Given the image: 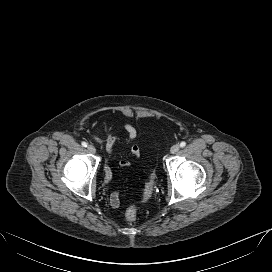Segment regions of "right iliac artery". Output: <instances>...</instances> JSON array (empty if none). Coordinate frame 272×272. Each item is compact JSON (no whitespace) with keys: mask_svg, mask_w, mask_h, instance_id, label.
Instances as JSON below:
<instances>
[{"mask_svg":"<svg viewBox=\"0 0 272 272\" xmlns=\"http://www.w3.org/2000/svg\"><path fill=\"white\" fill-rule=\"evenodd\" d=\"M81 144H82L83 147H87V145H88L86 142H82ZM106 173H107V172H106ZM106 175H107V174H106Z\"/></svg>","mask_w":272,"mask_h":272,"instance_id":"obj_1","label":"right iliac artery"}]
</instances>
